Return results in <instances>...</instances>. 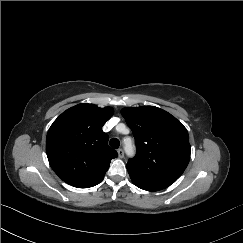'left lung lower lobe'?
Listing matches in <instances>:
<instances>
[{
	"instance_id": "left-lung-lower-lobe-1",
	"label": "left lung lower lobe",
	"mask_w": 243,
	"mask_h": 243,
	"mask_svg": "<svg viewBox=\"0 0 243 243\" xmlns=\"http://www.w3.org/2000/svg\"><path fill=\"white\" fill-rule=\"evenodd\" d=\"M177 178H162L153 182H133L137 187L147 191H158L170 186Z\"/></svg>"
}]
</instances>
